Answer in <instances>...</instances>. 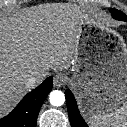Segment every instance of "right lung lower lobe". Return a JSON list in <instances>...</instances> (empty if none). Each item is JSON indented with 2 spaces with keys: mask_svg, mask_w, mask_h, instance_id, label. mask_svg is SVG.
Masks as SVG:
<instances>
[{
  "mask_svg": "<svg viewBox=\"0 0 127 127\" xmlns=\"http://www.w3.org/2000/svg\"><path fill=\"white\" fill-rule=\"evenodd\" d=\"M52 87V77H48L28 93L9 115L0 119V127H36L40 107Z\"/></svg>",
  "mask_w": 127,
  "mask_h": 127,
  "instance_id": "1",
  "label": "right lung lower lobe"
}]
</instances>
